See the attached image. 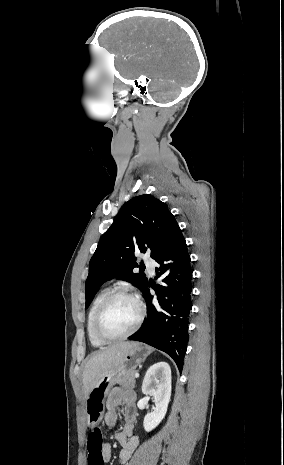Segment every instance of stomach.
I'll return each mask as SVG.
<instances>
[{
  "label": "stomach",
  "instance_id": "obj_1",
  "mask_svg": "<svg viewBox=\"0 0 284 465\" xmlns=\"http://www.w3.org/2000/svg\"><path fill=\"white\" fill-rule=\"evenodd\" d=\"M150 353H152L151 347L143 345V343H135L129 353H126L121 365L99 379L85 399L84 407L87 427H96V425L101 423L104 417L106 397H108L111 387L115 385L118 375L132 373L138 365L144 363Z\"/></svg>",
  "mask_w": 284,
  "mask_h": 465
}]
</instances>
